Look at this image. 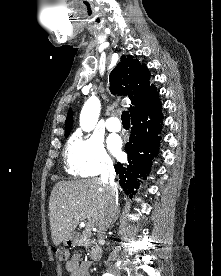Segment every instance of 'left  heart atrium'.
<instances>
[{
  "mask_svg": "<svg viewBox=\"0 0 221 276\" xmlns=\"http://www.w3.org/2000/svg\"><path fill=\"white\" fill-rule=\"evenodd\" d=\"M109 146L110 149L115 152V153H119L120 151V147H121V142L118 138H112L109 141Z\"/></svg>",
  "mask_w": 221,
  "mask_h": 276,
  "instance_id": "39dd6f15",
  "label": "left heart atrium"
}]
</instances>
